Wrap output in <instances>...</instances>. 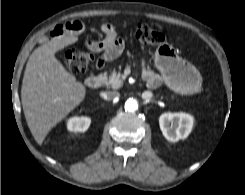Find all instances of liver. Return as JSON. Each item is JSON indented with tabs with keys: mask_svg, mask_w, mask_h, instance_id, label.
<instances>
[{
	"mask_svg": "<svg viewBox=\"0 0 245 195\" xmlns=\"http://www.w3.org/2000/svg\"><path fill=\"white\" fill-rule=\"evenodd\" d=\"M78 41V37L57 36L30 55L21 88V101L28 127L41 145L61 120L85 98V86L66 71L55 53Z\"/></svg>",
	"mask_w": 245,
	"mask_h": 195,
	"instance_id": "1",
	"label": "liver"
}]
</instances>
